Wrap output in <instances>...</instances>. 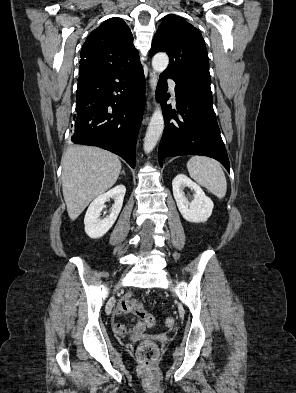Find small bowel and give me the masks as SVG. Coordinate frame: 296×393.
I'll return each instance as SVG.
<instances>
[{"instance_id":"1","label":"small bowel","mask_w":296,"mask_h":393,"mask_svg":"<svg viewBox=\"0 0 296 393\" xmlns=\"http://www.w3.org/2000/svg\"><path fill=\"white\" fill-rule=\"evenodd\" d=\"M130 299V298H127ZM133 300V299H132ZM121 303V302H120ZM119 303V307L117 309V313L120 314L123 312L121 305ZM114 330L118 333V334H141L143 333V331L145 330V324L141 321H135L133 324L131 325H125V324H120V323H114L113 324Z\"/></svg>"}]
</instances>
